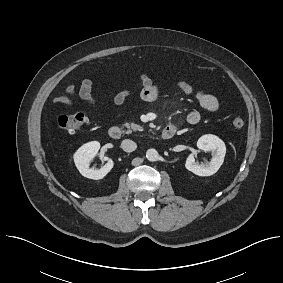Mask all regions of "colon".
<instances>
[{
    "label": "colon",
    "instance_id": "1",
    "mask_svg": "<svg viewBox=\"0 0 283 283\" xmlns=\"http://www.w3.org/2000/svg\"><path fill=\"white\" fill-rule=\"evenodd\" d=\"M88 118L84 112L68 113L59 117L56 127L67 133H74L79 130L86 122ZM232 125L236 129H240L244 126V120L242 118H234Z\"/></svg>",
    "mask_w": 283,
    "mask_h": 283
}]
</instances>
